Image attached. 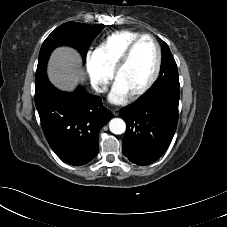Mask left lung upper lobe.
<instances>
[{"mask_svg": "<svg viewBox=\"0 0 227 227\" xmlns=\"http://www.w3.org/2000/svg\"><path fill=\"white\" fill-rule=\"evenodd\" d=\"M179 87L180 84L176 62L168 45L163 42L160 75L154 86L151 88L149 94L158 91H169L179 94Z\"/></svg>", "mask_w": 227, "mask_h": 227, "instance_id": "left-lung-upper-lobe-1", "label": "left lung upper lobe"}]
</instances>
